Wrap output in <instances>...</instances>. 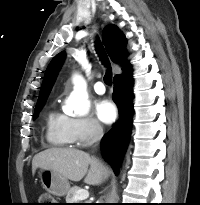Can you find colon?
Here are the masks:
<instances>
[{
  "instance_id": "colon-1",
  "label": "colon",
  "mask_w": 200,
  "mask_h": 205,
  "mask_svg": "<svg viewBox=\"0 0 200 205\" xmlns=\"http://www.w3.org/2000/svg\"><path fill=\"white\" fill-rule=\"evenodd\" d=\"M53 202V197L47 193H44L40 195L38 205H53Z\"/></svg>"
}]
</instances>
